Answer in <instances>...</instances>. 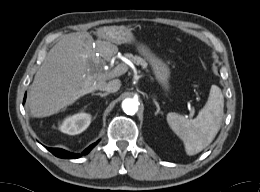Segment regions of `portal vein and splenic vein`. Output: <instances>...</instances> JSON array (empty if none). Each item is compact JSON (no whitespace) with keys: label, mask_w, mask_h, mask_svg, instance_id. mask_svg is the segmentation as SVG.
I'll return each instance as SVG.
<instances>
[{"label":"portal vein and splenic vein","mask_w":260,"mask_h":192,"mask_svg":"<svg viewBox=\"0 0 260 192\" xmlns=\"http://www.w3.org/2000/svg\"><path fill=\"white\" fill-rule=\"evenodd\" d=\"M128 70V67L125 64H119L117 65L112 71H110L108 74H106L107 76H120L124 73H126Z\"/></svg>","instance_id":"1"}]
</instances>
